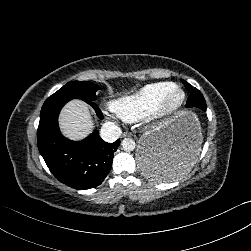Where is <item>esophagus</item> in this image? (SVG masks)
I'll return each mask as SVG.
<instances>
[{
    "label": "esophagus",
    "mask_w": 251,
    "mask_h": 251,
    "mask_svg": "<svg viewBox=\"0 0 251 251\" xmlns=\"http://www.w3.org/2000/svg\"><path fill=\"white\" fill-rule=\"evenodd\" d=\"M123 136H124V137H127V136H130V134L127 133V132H125V133L123 134Z\"/></svg>",
    "instance_id": "obj_1"
}]
</instances>
